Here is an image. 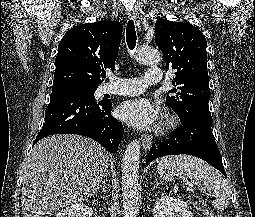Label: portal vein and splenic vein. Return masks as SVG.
I'll return each mask as SVG.
<instances>
[{"instance_id": "18ae733b", "label": "portal vein and splenic vein", "mask_w": 255, "mask_h": 217, "mask_svg": "<svg viewBox=\"0 0 255 217\" xmlns=\"http://www.w3.org/2000/svg\"><path fill=\"white\" fill-rule=\"evenodd\" d=\"M188 191H190V192H191V191H193V189H192V188H189V189H188Z\"/></svg>"}]
</instances>
